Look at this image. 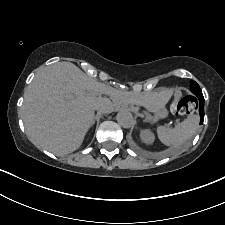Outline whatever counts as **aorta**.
I'll list each match as a JSON object with an SVG mask.
<instances>
[{
	"label": "aorta",
	"instance_id": "1",
	"mask_svg": "<svg viewBox=\"0 0 225 225\" xmlns=\"http://www.w3.org/2000/svg\"><path fill=\"white\" fill-rule=\"evenodd\" d=\"M116 119L118 124L126 129L132 128L135 124L132 114L126 110L118 112Z\"/></svg>",
	"mask_w": 225,
	"mask_h": 225
}]
</instances>
